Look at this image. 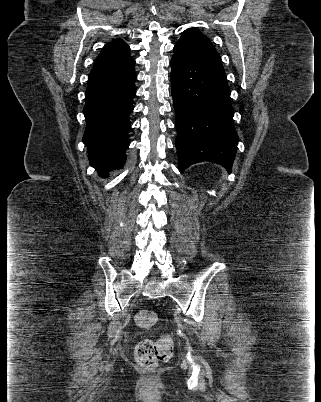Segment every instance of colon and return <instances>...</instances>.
Segmentation results:
<instances>
[{"label": "colon", "mask_w": 321, "mask_h": 402, "mask_svg": "<svg viewBox=\"0 0 321 402\" xmlns=\"http://www.w3.org/2000/svg\"><path fill=\"white\" fill-rule=\"evenodd\" d=\"M158 321L157 314L151 310H141L135 316L137 326L144 329L152 328ZM173 340L163 336L158 340L145 339L135 348L137 363L147 370H153L160 362L167 361L172 356Z\"/></svg>", "instance_id": "1"}]
</instances>
